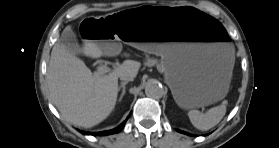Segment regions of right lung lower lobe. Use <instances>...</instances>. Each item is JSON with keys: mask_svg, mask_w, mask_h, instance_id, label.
<instances>
[{"mask_svg": "<svg viewBox=\"0 0 279 148\" xmlns=\"http://www.w3.org/2000/svg\"><path fill=\"white\" fill-rule=\"evenodd\" d=\"M128 118H129V116H128ZM128 118H127V119H128ZM127 119H126L125 121H123L117 128H114V129H112V130L102 131V132H95V133H90V132H84V131H82L81 133L84 134V135L87 134V135H99V136L118 133L119 131H121V130L123 129V127H124V125H125Z\"/></svg>", "mask_w": 279, "mask_h": 148, "instance_id": "98d812e1", "label": "right lung lower lobe"}]
</instances>
